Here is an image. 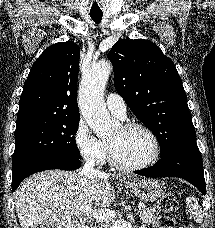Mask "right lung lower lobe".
Segmentation results:
<instances>
[{
  "mask_svg": "<svg viewBox=\"0 0 215 228\" xmlns=\"http://www.w3.org/2000/svg\"><path fill=\"white\" fill-rule=\"evenodd\" d=\"M80 166L79 159L50 155L37 156L20 161L14 164L12 168V192L26 177L33 173L49 169L76 170Z\"/></svg>",
  "mask_w": 215,
  "mask_h": 228,
  "instance_id": "98d812e1",
  "label": "right lung lower lobe"
}]
</instances>
